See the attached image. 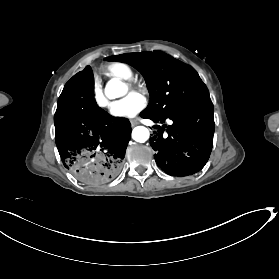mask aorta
Wrapping results in <instances>:
<instances>
[{"label": "aorta", "instance_id": "aorta-1", "mask_svg": "<svg viewBox=\"0 0 279 279\" xmlns=\"http://www.w3.org/2000/svg\"><path fill=\"white\" fill-rule=\"evenodd\" d=\"M127 86L118 79H111L105 87V94L110 99L122 97L127 93ZM149 130L144 126H137L132 130V138L139 143H144L149 139Z\"/></svg>", "mask_w": 279, "mask_h": 279}]
</instances>
